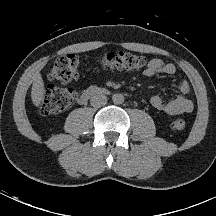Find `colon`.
Returning a JSON list of instances; mask_svg holds the SVG:
<instances>
[{
    "label": "colon",
    "instance_id": "colon-1",
    "mask_svg": "<svg viewBox=\"0 0 216 216\" xmlns=\"http://www.w3.org/2000/svg\"><path fill=\"white\" fill-rule=\"evenodd\" d=\"M96 65L102 70H141L147 66L145 57L124 52H110L95 59ZM80 59L75 54L59 56L50 71L52 81L67 84L79 77ZM76 91L73 88H47L44 91L41 103V113L50 115L67 110L75 101ZM185 116L176 117L171 128L174 131L183 130L186 127Z\"/></svg>",
    "mask_w": 216,
    "mask_h": 216
}]
</instances>
